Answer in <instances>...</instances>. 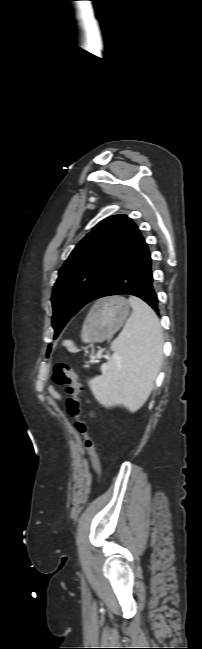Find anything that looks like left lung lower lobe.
<instances>
[{"label":"left lung lower lobe","mask_w":202,"mask_h":649,"mask_svg":"<svg viewBox=\"0 0 202 649\" xmlns=\"http://www.w3.org/2000/svg\"><path fill=\"white\" fill-rule=\"evenodd\" d=\"M153 282L152 259L145 239L139 233L118 264L99 286L93 300L110 295H134L147 302L159 315ZM50 350L51 345L48 346L47 354Z\"/></svg>","instance_id":"left-lung-lower-lobe-1"}]
</instances>
